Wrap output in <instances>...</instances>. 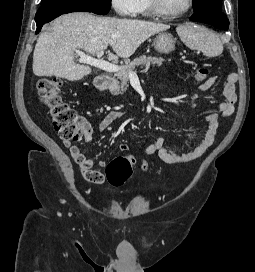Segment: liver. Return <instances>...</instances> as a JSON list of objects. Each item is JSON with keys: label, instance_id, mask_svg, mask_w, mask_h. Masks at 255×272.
<instances>
[{"label": "liver", "instance_id": "1", "mask_svg": "<svg viewBox=\"0 0 255 272\" xmlns=\"http://www.w3.org/2000/svg\"><path fill=\"white\" fill-rule=\"evenodd\" d=\"M169 28L161 23L83 12L62 15L54 20L50 31L39 35L33 53V73L78 81L89 75L91 68L74 61L77 49L96 54L110 45L116 55L108 51L109 60L129 58L145 40Z\"/></svg>", "mask_w": 255, "mask_h": 272}]
</instances>
